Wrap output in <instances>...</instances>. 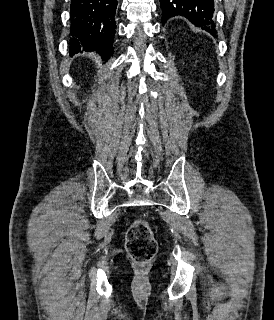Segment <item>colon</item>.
<instances>
[{
    "instance_id": "obj_1",
    "label": "colon",
    "mask_w": 274,
    "mask_h": 320,
    "mask_svg": "<svg viewBox=\"0 0 274 320\" xmlns=\"http://www.w3.org/2000/svg\"><path fill=\"white\" fill-rule=\"evenodd\" d=\"M126 250L130 258L140 266H146L157 252L153 229L143 220L133 221L126 233Z\"/></svg>"
}]
</instances>
